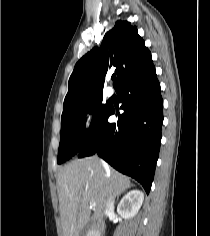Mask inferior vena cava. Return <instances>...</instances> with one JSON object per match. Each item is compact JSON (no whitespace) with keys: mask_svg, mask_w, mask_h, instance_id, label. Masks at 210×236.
Masks as SVG:
<instances>
[{"mask_svg":"<svg viewBox=\"0 0 210 236\" xmlns=\"http://www.w3.org/2000/svg\"><path fill=\"white\" fill-rule=\"evenodd\" d=\"M101 161V164L104 165V162L102 160ZM114 197H110L106 203V207H105V211H104V214L105 215H109L111 213L114 212Z\"/></svg>","mask_w":210,"mask_h":236,"instance_id":"1","label":"inferior vena cava"}]
</instances>
